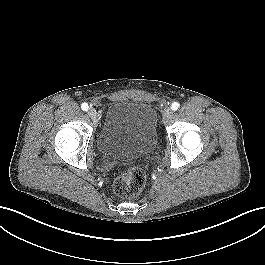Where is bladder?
<instances>
[{
    "label": "bladder",
    "instance_id": "1",
    "mask_svg": "<svg viewBox=\"0 0 265 265\" xmlns=\"http://www.w3.org/2000/svg\"><path fill=\"white\" fill-rule=\"evenodd\" d=\"M157 112L145 102H112L97 139L99 151L108 157L131 159L150 153L156 146Z\"/></svg>",
    "mask_w": 265,
    "mask_h": 265
}]
</instances>
